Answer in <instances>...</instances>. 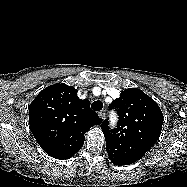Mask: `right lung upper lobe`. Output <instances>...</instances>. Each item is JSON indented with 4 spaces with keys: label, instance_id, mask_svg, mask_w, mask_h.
<instances>
[{
    "label": "right lung upper lobe",
    "instance_id": "right-lung-upper-lobe-1",
    "mask_svg": "<svg viewBox=\"0 0 187 187\" xmlns=\"http://www.w3.org/2000/svg\"><path fill=\"white\" fill-rule=\"evenodd\" d=\"M102 120L77 89L57 83L43 89L29 106L31 131L42 149L56 159H68L83 146L85 132Z\"/></svg>",
    "mask_w": 187,
    "mask_h": 187
}]
</instances>
